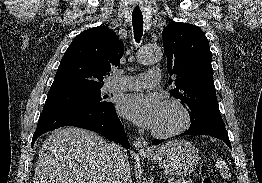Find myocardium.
Masks as SVG:
<instances>
[{"label": "myocardium", "mask_w": 262, "mask_h": 183, "mask_svg": "<svg viewBox=\"0 0 262 183\" xmlns=\"http://www.w3.org/2000/svg\"><path fill=\"white\" fill-rule=\"evenodd\" d=\"M163 105L173 106V107L177 108L182 115V123L175 130L170 131V132H166V133H161V132H157L155 130H152V132H151L152 135L156 138H159V139H170V138L176 137L179 134L185 132L189 128L190 123H191V116H190V112L187 109V107L183 103H181L180 101L175 100V99L165 100L163 102Z\"/></svg>", "instance_id": "myocardium-1"}]
</instances>
